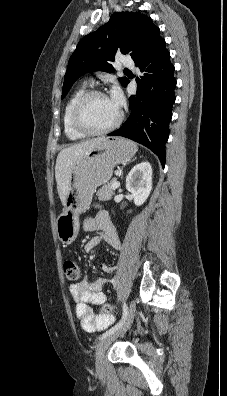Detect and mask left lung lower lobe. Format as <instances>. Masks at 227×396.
<instances>
[{"instance_id":"left-lung-lower-lobe-1","label":"left lung lower lobe","mask_w":227,"mask_h":396,"mask_svg":"<svg viewBox=\"0 0 227 396\" xmlns=\"http://www.w3.org/2000/svg\"><path fill=\"white\" fill-rule=\"evenodd\" d=\"M134 62L141 72L147 73L137 78V93L129 98L131 113L128 120L108 135L126 137L148 147L164 167L176 86L174 66L165 40L159 38L153 42Z\"/></svg>"}]
</instances>
